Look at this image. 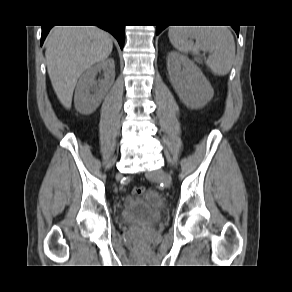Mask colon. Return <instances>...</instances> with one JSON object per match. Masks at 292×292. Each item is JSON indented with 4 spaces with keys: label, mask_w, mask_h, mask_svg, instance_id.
Segmentation results:
<instances>
[{
    "label": "colon",
    "mask_w": 292,
    "mask_h": 292,
    "mask_svg": "<svg viewBox=\"0 0 292 292\" xmlns=\"http://www.w3.org/2000/svg\"><path fill=\"white\" fill-rule=\"evenodd\" d=\"M133 193L137 196H141L145 193V188L142 186H136L133 189Z\"/></svg>",
    "instance_id": "1"
}]
</instances>
